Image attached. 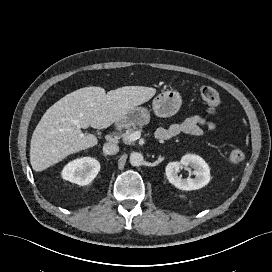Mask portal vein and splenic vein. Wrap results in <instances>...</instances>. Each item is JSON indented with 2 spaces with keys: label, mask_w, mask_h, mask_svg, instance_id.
<instances>
[{
  "label": "portal vein and splenic vein",
  "mask_w": 272,
  "mask_h": 272,
  "mask_svg": "<svg viewBox=\"0 0 272 272\" xmlns=\"http://www.w3.org/2000/svg\"><path fill=\"white\" fill-rule=\"evenodd\" d=\"M140 132L139 131H135V132H133L132 134H130L128 137H127V139H129L130 141H135V140H137V139H139L140 138Z\"/></svg>",
  "instance_id": "portal-vein-and-splenic-vein-1"
}]
</instances>
